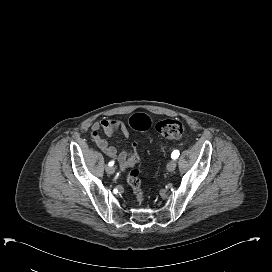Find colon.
<instances>
[{
  "label": "colon",
  "instance_id": "1",
  "mask_svg": "<svg viewBox=\"0 0 272 272\" xmlns=\"http://www.w3.org/2000/svg\"><path fill=\"white\" fill-rule=\"evenodd\" d=\"M130 127L138 132H144L151 127V119L146 114H134L129 119ZM156 131L168 139H180L185 132V125L178 119L166 118L156 123ZM128 183L140 204L144 201L145 195L141 188L140 173L133 169L128 176Z\"/></svg>",
  "mask_w": 272,
  "mask_h": 272
}]
</instances>
